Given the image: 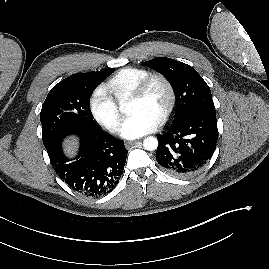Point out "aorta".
<instances>
[{
	"instance_id": "obj_1",
	"label": "aorta",
	"mask_w": 269,
	"mask_h": 269,
	"mask_svg": "<svg viewBox=\"0 0 269 269\" xmlns=\"http://www.w3.org/2000/svg\"><path fill=\"white\" fill-rule=\"evenodd\" d=\"M121 109H124L123 104H121ZM143 146L146 150L153 151L158 147V140L153 136H149L144 139Z\"/></svg>"
}]
</instances>
